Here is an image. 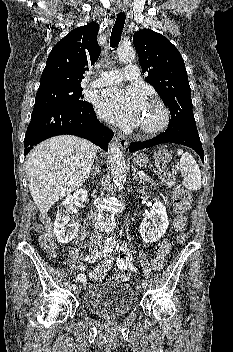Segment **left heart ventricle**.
Returning <instances> with one entry per match:
<instances>
[{
    "mask_svg": "<svg viewBox=\"0 0 233 352\" xmlns=\"http://www.w3.org/2000/svg\"><path fill=\"white\" fill-rule=\"evenodd\" d=\"M160 117L159 110L156 106L146 102L141 112L139 126H150L158 121Z\"/></svg>",
    "mask_w": 233,
    "mask_h": 352,
    "instance_id": "obj_1",
    "label": "left heart ventricle"
}]
</instances>
